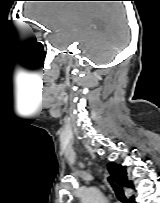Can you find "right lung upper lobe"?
Masks as SVG:
<instances>
[{"label":"right lung upper lobe","instance_id":"1","mask_svg":"<svg viewBox=\"0 0 160 203\" xmlns=\"http://www.w3.org/2000/svg\"><path fill=\"white\" fill-rule=\"evenodd\" d=\"M108 170H109L112 178L118 185H120L122 187L134 188L132 181H129L127 178V173L125 171V167L111 162L108 164ZM133 199L134 198H131V201H133Z\"/></svg>","mask_w":160,"mask_h":203}]
</instances>
